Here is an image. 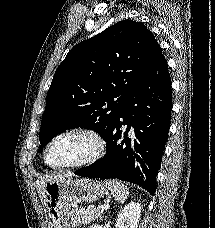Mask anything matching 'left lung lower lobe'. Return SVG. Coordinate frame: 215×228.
<instances>
[{
	"instance_id": "0a47b994",
	"label": "left lung lower lobe",
	"mask_w": 215,
	"mask_h": 228,
	"mask_svg": "<svg viewBox=\"0 0 215 228\" xmlns=\"http://www.w3.org/2000/svg\"><path fill=\"white\" fill-rule=\"evenodd\" d=\"M171 111V78L161 51L120 108L105 140V156L74 174L88 178H117L137 184L153 195L170 129ZM122 125H127L125 132L121 130ZM131 127L135 139L127 137Z\"/></svg>"
}]
</instances>
